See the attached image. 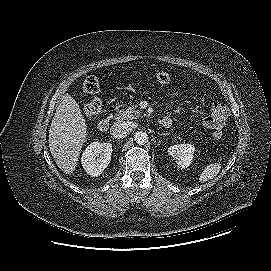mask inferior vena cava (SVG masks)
I'll return each mask as SVG.
<instances>
[{
	"mask_svg": "<svg viewBox=\"0 0 271 271\" xmlns=\"http://www.w3.org/2000/svg\"><path fill=\"white\" fill-rule=\"evenodd\" d=\"M111 134L116 139L125 138L130 131V124L128 122H115L110 128Z\"/></svg>",
	"mask_w": 271,
	"mask_h": 271,
	"instance_id": "602c4592",
	"label": "inferior vena cava"
}]
</instances>
